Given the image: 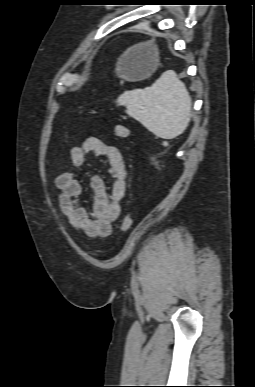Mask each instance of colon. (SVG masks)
<instances>
[{"mask_svg":"<svg viewBox=\"0 0 255 387\" xmlns=\"http://www.w3.org/2000/svg\"><path fill=\"white\" fill-rule=\"evenodd\" d=\"M114 134L120 139H125L129 136V129L125 125L116 124L114 126ZM132 223V216L130 214H126L121 220L119 229L121 231H128L131 228Z\"/></svg>","mask_w":255,"mask_h":387,"instance_id":"1","label":"colon"}]
</instances>
